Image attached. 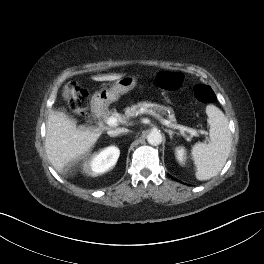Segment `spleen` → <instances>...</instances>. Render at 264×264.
Listing matches in <instances>:
<instances>
[{
  "instance_id": "spleen-1",
  "label": "spleen",
  "mask_w": 264,
  "mask_h": 264,
  "mask_svg": "<svg viewBox=\"0 0 264 264\" xmlns=\"http://www.w3.org/2000/svg\"><path fill=\"white\" fill-rule=\"evenodd\" d=\"M210 125L208 144L196 143L192 150V159L196 166V178L209 180L216 176L224 167L232 146L229 122L224 113L214 105L206 107Z\"/></svg>"
}]
</instances>
